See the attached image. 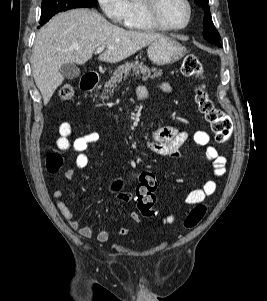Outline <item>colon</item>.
Masks as SVG:
<instances>
[{"label":"colon","mask_w":267,"mask_h":301,"mask_svg":"<svg viewBox=\"0 0 267 301\" xmlns=\"http://www.w3.org/2000/svg\"><path fill=\"white\" fill-rule=\"evenodd\" d=\"M181 72L187 77L201 78L203 66L200 60L194 55H187L182 62ZM75 96V88L71 84H64L59 89V97L63 101H70ZM195 100L199 111L204 115L215 135L218 143L227 142L232 134V124L230 119L218 109L210 99L203 86L196 90ZM63 164L62 156L53 152L48 155L46 166L48 171L57 172ZM137 181L135 203L138 210L145 217L154 214L155 190L157 181L155 175L150 171H141L134 176ZM125 182L123 179H115L109 185V193L118 197L124 190ZM206 206L199 204L190 210L184 220V227L187 229L195 227L205 216Z\"/></svg>","instance_id":"1"}]
</instances>
